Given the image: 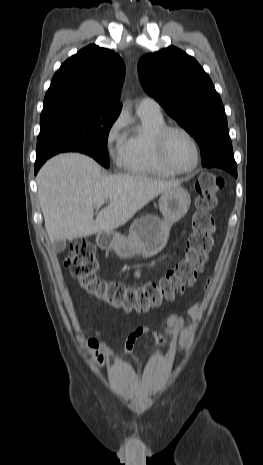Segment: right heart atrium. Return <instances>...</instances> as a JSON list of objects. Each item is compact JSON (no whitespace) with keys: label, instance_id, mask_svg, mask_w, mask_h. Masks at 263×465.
I'll return each mask as SVG.
<instances>
[{"label":"right heart atrium","instance_id":"obj_1","mask_svg":"<svg viewBox=\"0 0 263 465\" xmlns=\"http://www.w3.org/2000/svg\"><path fill=\"white\" fill-rule=\"evenodd\" d=\"M126 121L123 115H118L108 126L105 134V149L108 157L118 167L124 166L126 156L127 134Z\"/></svg>","mask_w":263,"mask_h":465}]
</instances>
